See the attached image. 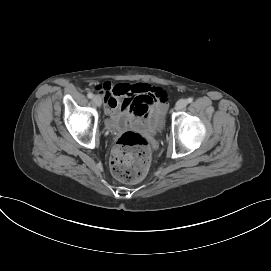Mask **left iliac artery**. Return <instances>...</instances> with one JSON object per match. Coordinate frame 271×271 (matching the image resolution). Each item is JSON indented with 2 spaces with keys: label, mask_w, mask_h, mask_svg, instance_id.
Returning a JSON list of instances; mask_svg holds the SVG:
<instances>
[{
  "label": "left iliac artery",
  "mask_w": 271,
  "mask_h": 271,
  "mask_svg": "<svg viewBox=\"0 0 271 271\" xmlns=\"http://www.w3.org/2000/svg\"><path fill=\"white\" fill-rule=\"evenodd\" d=\"M192 101H193V98H191V97L187 99L188 103H191Z\"/></svg>",
  "instance_id": "1"
}]
</instances>
